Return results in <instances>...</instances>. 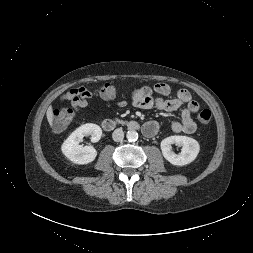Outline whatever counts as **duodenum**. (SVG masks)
Segmentation results:
<instances>
[{"instance_id":"duodenum-1","label":"duodenum","mask_w":253,"mask_h":253,"mask_svg":"<svg viewBox=\"0 0 253 253\" xmlns=\"http://www.w3.org/2000/svg\"><path fill=\"white\" fill-rule=\"evenodd\" d=\"M101 126L106 131H112V130L118 128L119 126H121V124L118 121L114 120V119L106 118V119H103L101 121ZM126 126L130 130H139V129H141L140 124L137 121H134V120L128 121L126 123Z\"/></svg>"}]
</instances>
